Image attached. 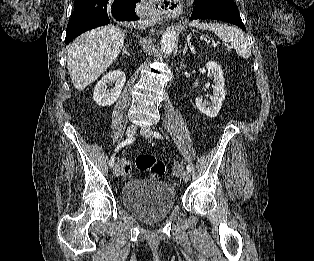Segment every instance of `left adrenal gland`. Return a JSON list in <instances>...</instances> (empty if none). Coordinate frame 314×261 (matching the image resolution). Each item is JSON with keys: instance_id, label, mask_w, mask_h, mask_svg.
Returning a JSON list of instances; mask_svg holds the SVG:
<instances>
[{"instance_id": "1", "label": "left adrenal gland", "mask_w": 314, "mask_h": 261, "mask_svg": "<svg viewBox=\"0 0 314 261\" xmlns=\"http://www.w3.org/2000/svg\"><path fill=\"white\" fill-rule=\"evenodd\" d=\"M188 44L187 43H185V46H184V49H183V55H185L186 54V52L188 51Z\"/></svg>"}]
</instances>
